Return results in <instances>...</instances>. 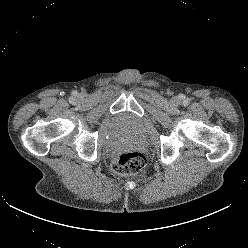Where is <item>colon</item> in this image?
Here are the masks:
<instances>
[{"label": "colon", "mask_w": 248, "mask_h": 248, "mask_svg": "<svg viewBox=\"0 0 248 248\" xmlns=\"http://www.w3.org/2000/svg\"><path fill=\"white\" fill-rule=\"evenodd\" d=\"M145 164V156L140 152L132 151L116 155L111 167L118 175H133L142 171Z\"/></svg>", "instance_id": "colon-1"}]
</instances>
